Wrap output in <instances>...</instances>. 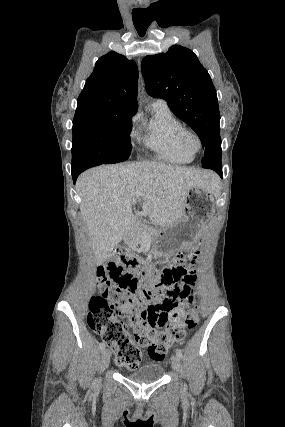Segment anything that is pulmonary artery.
Here are the masks:
<instances>
[{
    "instance_id": "pulmonary-artery-1",
    "label": "pulmonary artery",
    "mask_w": 285,
    "mask_h": 427,
    "mask_svg": "<svg viewBox=\"0 0 285 427\" xmlns=\"http://www.w3.org/2000/svg\"><path fill=\"white\" fill-rule=\"evenodd\" d=\"M156 102L164 103V101L162 99H157Z\"/></svg>"
}]
</instances>
